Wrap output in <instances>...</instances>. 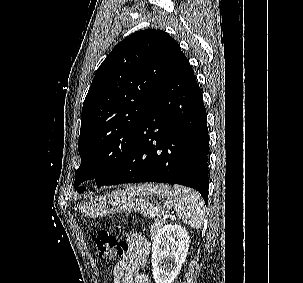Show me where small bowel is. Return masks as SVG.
Masks as SVG:
<instances>
[{
	"mask_svg": "<svg viewBox=\"0 0 303 283\" xmlns=\"http://www.w3.org/2000/svg\"><path fill=\"white\" fill-rule=\"evenodd\" d=\"M125 253L114 266V283H151L150 278L140 274V269L146 266L150 244L140 234L132 233L126 237Z\"/></svg>",
	"mask_w": 303,
	"mask_h": 283,
	"instance_id": "1",
	"label": "small bowel"
}]
</instances>
